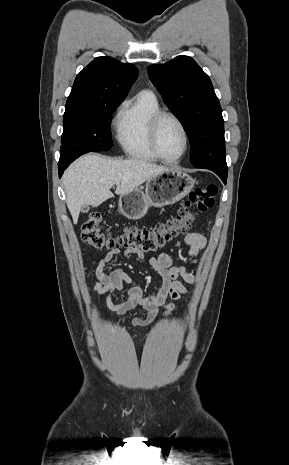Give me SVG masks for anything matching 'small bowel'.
I'll list each match as a JSON object with an SVG mask.
<instances>
[{
    "instance_id": "c3829d8e",
    "label": "small bowel",
    "mask_w": 289,
    "mask_h": 465,
    "mask_svg": "<svg viewBox=\"0 0 289 465\" xmlns=\"http://www.w3.org/2000/svg\"><path fill=\"white\" fill-rule=\"evenodd\" d=\"M178 245L189 247L190 256L197 258L206 247V239L198 232H189L178 242ZM118 254V249L111 250L96 262V282L93 284V291L97 298L108 294L107 305L118 317H122L134 308L146 309L148 311L146 317L133 319L134 326L151 324L156 319L160 308L165 309L164 318L167 319L175 310L173 303H166L167 298L179 300L187 294L185 283L195 282L192 272L184 266H174L171 256L163 251L158 256L147 258L148 265L159 275L161 282L153 293L145 294L144 290L135 284L122 267L115 266L109 273L104 271ZM124 255L126 257L135 255L140 260L145 258L144 253L136 249H126ZM116 291L125 292L127 295L125 300L117 304L112 301V294Z\"/></svg>"
}]
</instances>
